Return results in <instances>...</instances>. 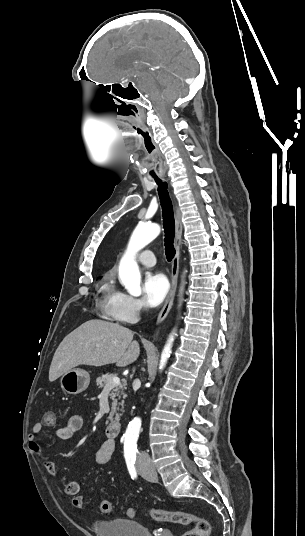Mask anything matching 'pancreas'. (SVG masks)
<instances>
[{"label": "pancreas", "instance_id": "pancreas-1", "mask_svg": "<svg viewBox=\"0 0 305 536\" xmlns=\"http://www.w3.org/2000/svg\"><path fill=\"white\" fill-rule=\"evenodd\" d=\"M112 378H115L113 374H104L102 378H97L96 384L97 386H99V388H103V386H106V384H108V382H110ZM124 386H126V382H123V384H115V386H113V390L111 394H109L112 400V404H111L112 408H111V412H110V416L108 420H115V424H119L120 416H122V414H118L119 406H123L124 400L125 398H127V394H125L124 392L125 390ZM120 398H123L122 402H118ZM114 414H115V418H114Z\"/></svg>", "mask_w": 305, "mask_h": 536}]
</instances>
